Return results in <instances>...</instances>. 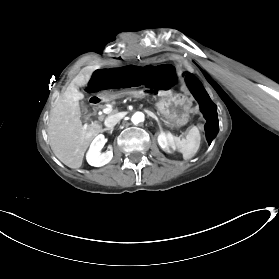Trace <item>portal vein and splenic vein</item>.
I'll return each mask as SVG.
<instances>
[{
	"label": "portal vein and splenic vein",
	"instance_id": "obj_1",
	"mask_svg": "<svg viewBox=\"0 0 279 279\" xmlns=\"http://www.w3.org/2000/svg\"><path fill=\"white\" fill-rule=\"evenodd\" d=\"M112 111V107H107L105 109H103V113L105 114H109Z\"/></svg>",
	"mask_w": 279,
	"mask_h": 279
}]
</instances>
